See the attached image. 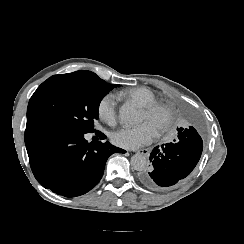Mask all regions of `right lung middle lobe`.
Wrapping results in <instances>:
<instances>
[{
	"label": "right lung middle lobe",
	"instance_id": "dd1d6c3e",
	"mask_svg": "<svg viewBox=\"0 0 244 244\" xmlns=\"http://www.w3.org/2000/svg\"><path fill=\"white\" fill-rule=\"evenodd\" d=\"M114 86L87 70L54 75L30 98L27 125L43 124L74 133L94 132L99 104Z\"/></svg>",
	"mask_w": 244,
	"mask_h": 244
}]
</instances>
